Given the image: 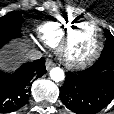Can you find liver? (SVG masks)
I'll return each instance as SVG.
<instances>
[{"label":"liver","mask_w":114,"mask_h":114,"mask_svg":"<svg viewBox=\"0 0 114 114\" xmlns=\"http://www.w3.org/2000/svg\"><path fill=\"white\" fill-rule=\"evenodd\" d=\"M27 52V48L23 43H16L13 50L4 51V55L0 58L2 66L15 65L18 57L23 56Z\"/></svg>","instance_id":"6515ba94"}]
</instances>
